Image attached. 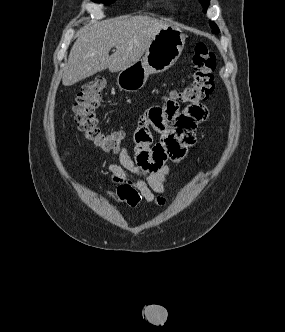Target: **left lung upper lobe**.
I'll return each mask as SVG.
<instances>
[{
    "label": "left lung upper lobe",
    "mask_w": 285,
    "mask_h": 332,
    "mask_svg": "<svg viewBox=\"0 0 285 332\" xmlns=\"http://www.w3.org/2000/svg\"><path fill=\"white\" fill-rule=\"evenodd\" d=\"M209 2H210V0H200V3L202 5V7H203V11L204 12H206V10H207V8L209 6ZM210 26L212 28V32L213 33H218L219 32V29H218L217 25L214 22L210 21Z\"/></svg>",
    "instance_id": "obj_1"
}]
</instances>
